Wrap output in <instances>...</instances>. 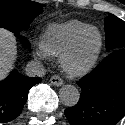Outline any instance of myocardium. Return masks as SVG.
Returning <instances> with one entry per match:
<instances>
[{
  "label": "myocardium",
  "instance_id": "f54148a6",
  "mask_svg": "<svg viewBox=\"0 0 125 125\" xmlns=\"http://www.w3.org/2000/svg\"><path fill=\"white\" fill-rule=\"evenodd\" d=\"M89 30H95L98 33V36H99L98 47H97L96 51L94 52V54L92 55V57L90 58V60L86 64H84L83 66H80V67H74L69 63V57H70L72 51L74 50L76 44L78 43L79 39L81 38V36L86 31H89ZM102 47H103L102 33L97 27L91 25V26L81 30L80 32H78L71 39V41L68 43V45L64 48V50L62 51V53L59 56L60 65H61L62 69L71 76L86 75L95 65V63L101 53Z\"/></svg>",
  "mask_w": 125,
  "mask_h": 125
}]
</instances>
